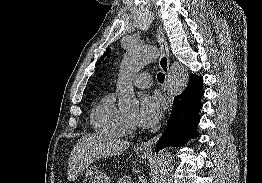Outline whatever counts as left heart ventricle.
<instances>
[{
  "mask_svg": "<svg viewBox=\"0 0 262 183\" xmlns=\"http://www.w3.org/2000/svg\"><path fill=\"white\" fill-rule=\"evenodd\" d=\"M136 115H137V112L135 111V112L129 113L128 117H130L131 119H135Z\"/></svg>",
  "mask_w": 262,
  "mask_h": 183,
  "instance_id": "1",
  "label": "left heart ventricle"
}]
</instances>
